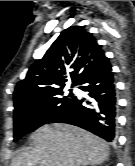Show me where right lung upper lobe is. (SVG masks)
Instances as JSON below:
<instances>
[{"label": "right lung upper lobe", "mask_w": 135, "mask_h": 166, "mask_svg": "<svg viewBox=\"0 0 135 166\" xmlns=\"http://www.w3.org/2000/svg\"><path fill=\"white\" fill-rule=\"evenodd\" d=\"M105 57L93 35L80 26L65 29L42 59L30 68L14 91V108L32 104L61 92L70 74L73 85L103 63Z\"/></svg>", "instance_id": "obj_1"}]
</instances>
